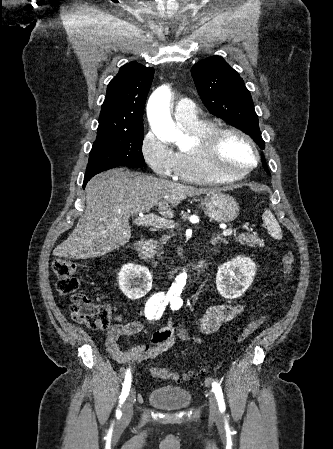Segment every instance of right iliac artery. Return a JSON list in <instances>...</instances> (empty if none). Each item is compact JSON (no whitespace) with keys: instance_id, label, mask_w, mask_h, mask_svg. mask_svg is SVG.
<instances>
[{"instance_id":"right-iliac-artery-1","label":"right iliac artery","mask_w":333,"mask_h":449,"mask_svg":"<svg viewBox=\"0 0 333 449\" xmlns=\"http://www.w3.org/2000/svg\"><path fill=\"white\" fill-rule=\"evenodd\" d=\"M170 300H171V298L168 296H165L163 293H157V294L153 295L152 297H150L145 305L146 317L149 320H152L154 318L159 319L162 316L163 311L165 310V307L168 305ZM130 386H131V372H130V369H128L126 372V375H125V380H124L122 392L120 395L119 406H121V404H123L126 397L128 396L129 391H130ZM116 414L118 416L121 415L120 409H117Z\"/></svg>"}]
</instances>
